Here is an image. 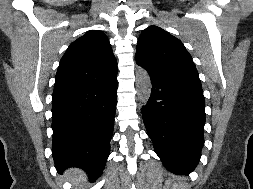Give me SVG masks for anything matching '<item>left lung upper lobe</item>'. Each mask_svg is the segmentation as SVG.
Here are the masks:
<instances>
[{"label":"left lung upper lobe","mask_w":253,"mask_h":189,"mask_svg":"<svg viewBox=\"0 0 253 189\" xmlns=\"http://www.w3.org/2000/svg\"><path fill=\"white\" fill-rule=\"evenodd\" d=\"M136 62L151 77L203 91L189 52L179 39L160 27L150 26L142 31L136 47Z\"/></svg>","instance_id":"1"}]
</instances>
